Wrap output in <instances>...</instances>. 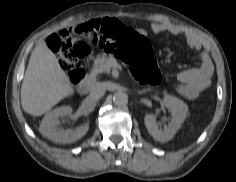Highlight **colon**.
I'll use <instances>...</instances> for the list:
<instances>
[{"mask_svg":"<svg viewBox=\"0 0 236 182\" xmlns=\"http://www.w3.org/2000/svg\"><path fill=\"white\" fill-rule=\"evenodd\" d=\"M72 83L84 77L83 60L91 45L115 52L130 66L143 84L155 85L161 79L154 52L146 37L115 19L95 20L72 29L60 30L47 40Z\"/></svg>","mask_w":236,"mask_h":182,"instance_id":"5ec220e1","label":"colon"}]
</instances>
